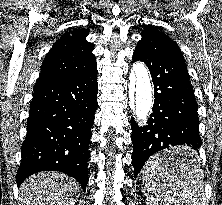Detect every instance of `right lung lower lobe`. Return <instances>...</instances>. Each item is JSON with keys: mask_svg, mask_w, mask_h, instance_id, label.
I'll return each instance as SVG.
<instances>
[{"mask_svg": "<svg viewBox=\"0 0 222 205\" xmlns=\"http://www.w3.org/2000/svg\"><path fill=\"white\" fill-rule=\"evenodd\" d=\"M97 91V66L71 77L36 83L21 148L18 186L36 172L60 171L75 178L85 192Z\"/></svg>", "mask_w": 222, "mask_h": 205, "instance_id": "right-lung-lower-lobe-1", "label": "right lung lower lobe"}]
</instances>
